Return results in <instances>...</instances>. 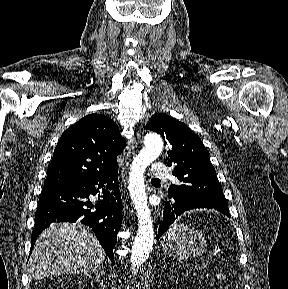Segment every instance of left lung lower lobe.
<instances>
[{
    "label": "left lung lower lobe",
    "instance_id": "left-lung-lower-lobe-1",
    "mask_svg": "<svg viewBox=\"0 0 288 289\" xmlns=\"http://www.w3.org/2000/svg\"><path fill=\"white\" fill-rule=\"evenodd\" d=\"M199 208H207V209H214L219 211L218 209L209 206L205 203H201L198 201H190V200H183V199H171L165 205L163 218L160 222L158 234L156 236L159 239L160 236L164 234V232L169 228V226L180 216L182 213ZM221 212V211H219ZM226 216L230 217L229 213H224Z\"/></svg>",
    "mask_w": 288,
    "mask_h": 289
}]
</instances>
